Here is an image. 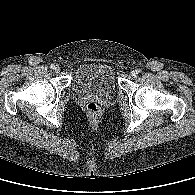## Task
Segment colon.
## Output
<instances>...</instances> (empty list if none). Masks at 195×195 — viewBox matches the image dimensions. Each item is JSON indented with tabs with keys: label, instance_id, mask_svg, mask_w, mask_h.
Listing matches in <instances>:
<instances>
[{
	"label": "colon",
	"instance_id": "5ec220e1",
	"mask_svg": "<svg viewBox=\"0 0 195 195\" xmlns=\"http://www.w3.org/2000/svg\"><path fill=\"white\" fill-rule=\"evenodd\" d=\"M86 111L92 117H97L100 114V108L94 101H91L86 105Z\"/></svg>",
	"mask_w": 195,
	"mask_h": 195
}]
</instances>
